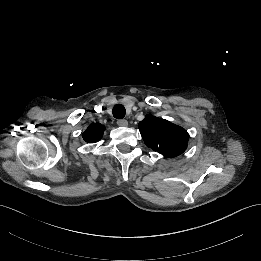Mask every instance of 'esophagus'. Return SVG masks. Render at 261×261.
<instances>
[{"label": "esophagus", "instance_id": "esophagus-1", "mask_svg": "<svg viewBox=\"0 0 261 261\" xmlns=\"http://www.w3.org/2000/svg\"><path fill=\"white\" fill-rule=\"evenodd\" d=\"M117 125L120 127H126V126H128V121L125 119L118 120Z\"/></svg>", "mask_w": 261, "mask_h": 261}]
</instances>
